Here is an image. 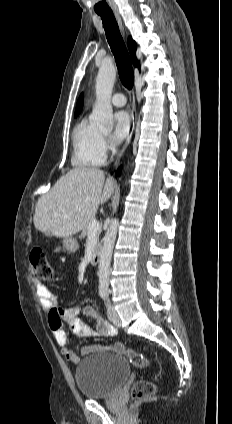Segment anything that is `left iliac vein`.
Returning <instances> with one entry per match:
<instances>
[{"label": "left iliac vein", "instance_id": "left-iliac-vein-1", "mask_svg": "<svg viewBox=\"0 0 232 424\" xmlns=\"http://www.w3.org/2000/svg\"><path fill=\"white\" fill-rule=\"evenodd\" d=\"M108 317L114 324L118 325L120 323L119 315L115 308L111 305H108Z\"/></svg>", "mask_w": 232, "mask_h": 424}]
</instances>
